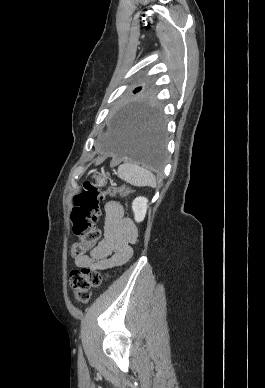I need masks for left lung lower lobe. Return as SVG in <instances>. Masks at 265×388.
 I'll use <instances>...</instances> for the list:
<instances>
[{"mask_svg":"<svg viewBox=\"0 0 265 388\" xmlns=\"http://www.w3.org/2000/svg\"><path fill=\"white\" fill-rule=\"evenodd\" d=\"M164 120L156 108H122L104 140L106 151L160 170L165 159Z\"/></svg>","mask_w":265,"mask_h":388,"instance_id":"0a47b994","label":"left lung lower lobe"}]
</instances>
